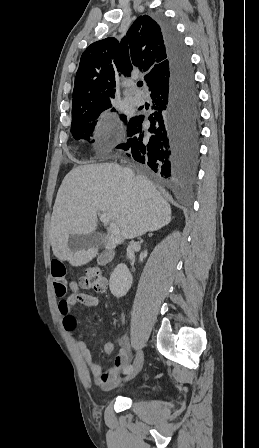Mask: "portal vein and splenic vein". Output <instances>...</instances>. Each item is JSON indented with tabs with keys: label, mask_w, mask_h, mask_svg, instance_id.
<instances>
[{
	"label": "portal vein and splenic vein",
	"mask_w": 259,
	"mask_h": 448,
	"mask_svg": "<svg viewBox=\"0 0 259 448\" xmlns=\"http://www.w3.org/2000/svg\"><path fill=\"white\" fill-rule=\"evenodd\" d=\"M100 220L101 222H103V224H110V228L114 236H116V234H119V228L118 226H116V224H114V222H112L109 214H101Z\"/></svg>",
	"instance_id": "18ae733b"
}]
</instances>
